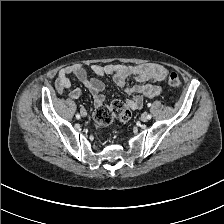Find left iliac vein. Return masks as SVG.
I'll use <instances>...</instances> for the list:
<instances>
[{"label": "left iliac vein", "mask_w": 224, "mask_h": 224, "mask_svg": "<svg viewBox=\"0 0 224 224\" xmlns=\"http://www.w3.org/2000/svg\"><path fill=\"white\" fill-rule=\"evenodd\" d=\"M141 120L143 121V122H146V121H148V115L147 114H142L141 115Z\"/></svg>", "instance_id": "4c4485c4"}]
</instances>
